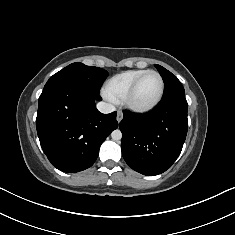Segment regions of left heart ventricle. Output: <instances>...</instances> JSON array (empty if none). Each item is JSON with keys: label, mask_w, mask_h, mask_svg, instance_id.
<instances>
[{"label": "left heart ventricle", "mask_w": 235, "mask_h": 235, "mask_svg": "<svg viewBox=\"0 0 235 235\" xmlns=\"http://www.w3.org/2000/svg\"><path fill=\"white\" fill-rule=\"evenodd\" d=\"M160 91V81L155 74L146 75L137 86L132 102L139 106L152 103Z\"/></svg>", "instance_id": "obj_1"}]
</instances>
